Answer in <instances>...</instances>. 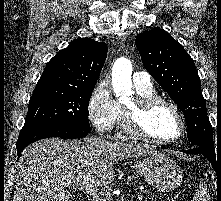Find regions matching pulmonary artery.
Returning a JSON list of instances; mask_svg holds the SVG:
<instances>
[{"mask_svg": "<svg viewBox=\"0 0 221 201\" xmlns=\"http://www.w3.org/2000/svg\"><path fill=\"white\" fill-rule=\"evenodd\" d=\"M133 83L136 87L152 86L150 75L147 72H136L133 75Z\"/></svg>", "mask_w": 221, "mask_h": 201, "instance_id": "obj_1", "label": "pulmonary artery"}]
</instances>
